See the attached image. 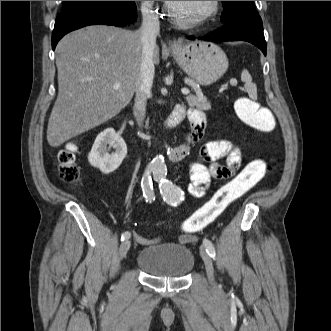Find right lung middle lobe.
<instances>
[{"instance_id":"obj_1","label":"right lung middle lobe","mask_w":331,"mask_h":331,"mask_svg":"<svg viewBox=\"0 0 331 331\" xmlns=\"http://www.w3.org/2000/svg\"><path fill=\"white\" fill-rule=\"evenodd\" d=\"M103 2H112V1H64L61 13H66L74 9Z\"/></svg>"}]
</instances>
